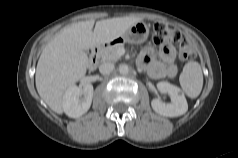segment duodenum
<instances>
[{"label":"duodenum","instance_id":"410a0bca","mask_svg":"<svg viewBox=\"0 0 238 158\" xmlns=\"http://www.w3.org/2000/svg\"><path fill=\"white\" fill-rule=\"evenodd\" d=\"M106 44L100 43L95 45L90 52L88 66L89 68H94L97 65L99 52Z\"/></svg>","mask_w":238,"mask_h":158}]
</instances>
